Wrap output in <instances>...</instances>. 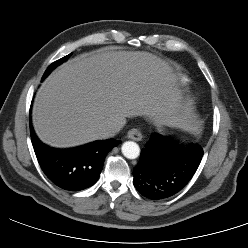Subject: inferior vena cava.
<instances>
[{"label":"inferior vena cava","instance_id":"inferior-vena-cava-1","mask_svg":"<svg viewBox=\"0 0 248 248\" xmlns=\"http://www.w3.org/2000/svg\"><path fill=\"white\" fill-rule=\"evenodd\" d=\"M121 128H122V126L119 124L111 125L107 128L106 135L108 137L114 136L115 134H117L121 130Z\"/></svg>","mask_w":248,"mask_h":248}]
</instances>
